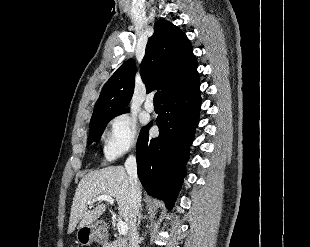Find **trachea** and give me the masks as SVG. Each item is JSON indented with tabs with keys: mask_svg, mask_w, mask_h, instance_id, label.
I'll use <instances>...</instances> for the list:
<instances>
[{
	"mask_svg": "<svg viewBox=\"0 0 310 247\" xmlns=\"http://www.w3.org/2000/svg\"><path fill=\"white\" fill-rule=\"evenodd\" d=\"M154 103L155 104H161V92L158 91L154 95Z\"/></svg>",
	"mask_w": 310,
	"mask_h": 247,
	"instance_id": "obj_1",
	"label": "trachea"
}]
</instances>
